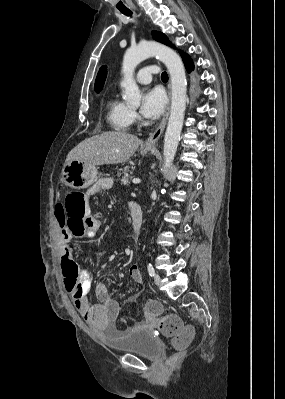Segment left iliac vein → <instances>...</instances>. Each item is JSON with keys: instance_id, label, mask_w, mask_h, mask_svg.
<instances>
[{"instance_id": "1", "label": "left iliac vein", "mask_w": 285, "mask_h": 399, "mask_svg": "<svg viewBox=\"0 0 285 399\" xmlns=\"http://www.w3.org/2000/svg\"><path fill=\"white\" fill-rule=\"evenodd\" d=\"M154 281H155V283L157 284V285H160V283H161V277H160V275L159 274H155V276H154Z\"/></svg>"}]
</instances>
